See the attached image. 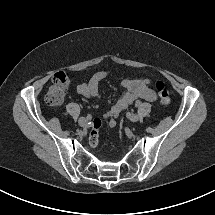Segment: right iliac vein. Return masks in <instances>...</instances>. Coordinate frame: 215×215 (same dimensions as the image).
<instances>
[{
  "instance_id": "obj_1",
  "label": "right iliac vein",
  "mask_w": 215,
  "mask_h": 215,
  "mask_svg": "<svg viewBox=\"0 0 215 215\" xmlns=\"http://www.w3.org/2000/svg\"><path fill=\"white\" fill-rule=\"evenodd\" d=\"M78 123L80 126H86L88 123V119L85 117H81V118H79Z\"/></svg>"
}]
</instances>
